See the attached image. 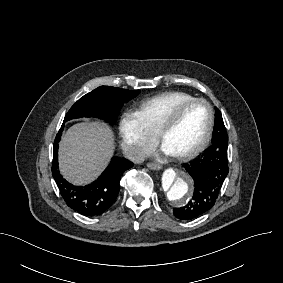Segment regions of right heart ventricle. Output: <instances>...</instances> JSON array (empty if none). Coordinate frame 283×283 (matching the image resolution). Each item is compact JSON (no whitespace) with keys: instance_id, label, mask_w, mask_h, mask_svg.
Listing matches in <instances>:
<instances>
[{"instance_id":"obj_1","label":"right heart ventricle","mask_w":283,"mask_h":283,"mask_svg":"<svg viewBox=\"0 0 283 283\" xmlns=\"http://www.w3.org/2000/svg\"><path fill=\"white\" fill-rule=\"evenodd\" d=\"M192 98V94L183 91L165 92L142 101L136 111L141 114L149 130L155 134L158 118L162 113L168 115L174 105Z\"/></svg>"}]
</instances>
